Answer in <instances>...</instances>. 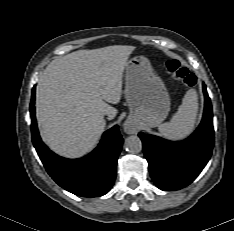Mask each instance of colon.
<instances>
[{"label":"colon","instance_id":"obj_1","mask_svg":"<svg viewBox=\"0 0 234 231\" xmlns=\"http://www.w3.org/2000/svg\"><path fill=\"white\" fill-rule=\"evenodd\" d=\"M166 69L170 79L182 86L193 87L197 82V77L187 67L178 60H169Z\"/></svg>","mask_w":234,"mask_h":231}]
</instances>
